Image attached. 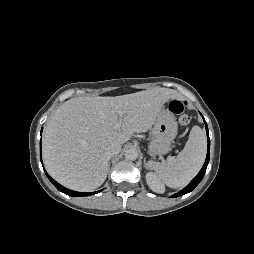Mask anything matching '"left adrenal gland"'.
Instances as JSON below:
<instances>
[{
	"label": "left adrenal gland",
	"mask_w": 254,
	"mask_h": 254,
	"mask_svg": "<svg viewBox=\"0 0 254 254\" xmlns=\"http://www.w3.org/2000/svg\"><path fill=\"white\" fill-rule=\"evenodd\" d=\"M144 167H145L146 169H148V165H147V162H146V158H144Z\"/></svg>",
	"instance_id": "1"
}]
</instances>
